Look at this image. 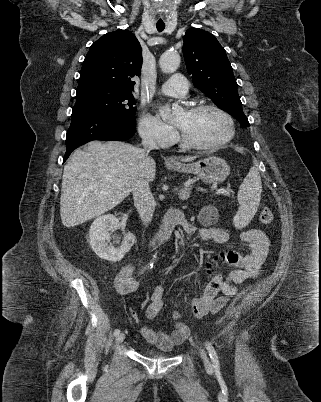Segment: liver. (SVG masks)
Wrapping results in <instances>:
<instances>
[{"label": "liver", "mask_w": 321, "mask_h": 402, "mask_svg": "<svg viewBox=\"0 0 321 402\" xmlns=\"http://www.w3.org/2000/svg\"><path fill=\"white\" fill-rule=\"evenodd\" d=\"M196 157H183L189 162ZM156 163L144 150L121 141H91L64 166L60 199L62 224L71 228L120 204L143 176L155 179Z\"/></svg>", "instance_id": "obj_1"}]
</instances>
